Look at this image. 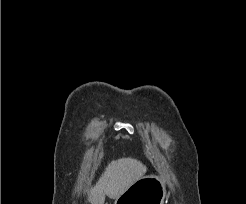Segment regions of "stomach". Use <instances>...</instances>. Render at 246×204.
<instances>
[{
	"mask_svg": "<svg viewBox=\"0 0 246 204\" xmlns=\"http://www.w3.org/2000/svg\"><path fill=\"white\" fill-rule=\"evenodd\" d=\"M165 197L164 182L158 176L149 175L135 181L115 204H164Z\"/></svg>",
	"mask_w": 246,
	"mask_h": 204,
	"instance_id": "obj_1",
	"label": "stomach"
}]
</instances>
